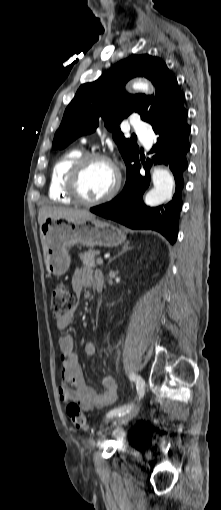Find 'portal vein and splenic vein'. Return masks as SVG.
Segmentation results:
<instances>
[{"label": "portal vein and splenic vein", "mask_w": 221, "mask_h": 510, "mask_svg": "<svg viewBox=\"0 0 221 510\" xmlns=\"http://www.w3.org/2000/svg\"><path fill=\"white\" fill-rule=\"evenodd\" d=\"M96 262H97V264L102 265L103 264V259L102 258H97Z\"/></svg>", "instance_id": "obj_1"}]
</instances>
